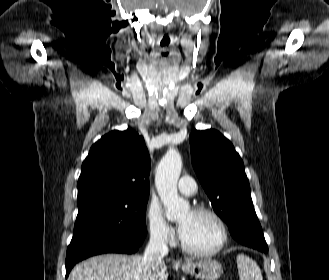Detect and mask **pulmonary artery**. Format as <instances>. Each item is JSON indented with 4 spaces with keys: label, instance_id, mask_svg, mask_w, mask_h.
Masks as SVG:
<instances>
[{
    "label": "pulmonary artery",
    "instance_id": "obj_1",
    "mask_svg": "<svg viewBox=\"0 0 329 280\" xmlns=\"http://www.w3.org/2000/svg\"><path fill=\"white\" fill-rule=\"evenodd\" d=\"M178 189L182 194L192 195L196 192V183L193 178L183 176L178 182Z\"/></svg>",
    "mask_w": 329,
    "mask_h": 280
}]
</instances>
